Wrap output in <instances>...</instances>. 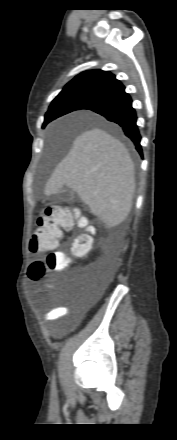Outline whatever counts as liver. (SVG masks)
<instances>
[{
	"label": "liver",
	"instance_id": "6515ba94",
	"mask_svg": "<svg viewBox=\"0 0 177 440\" xmlns=\"http://www.w3.org/2000/svg\"><path fill=\"white\" fill-rule=\"evenodd\" d=\"M64 185L77 192L107 228L115 227L132 208L134 164L119 140L99 128L87 130L75 138L47 181L44 194H57Z\"/></svg>",
	"mask_w": 177,
	"mask_h": 440
}]
</instances>
